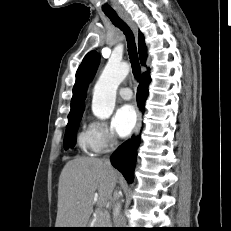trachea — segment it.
Wrapping results in <instances>:
<instances>
[{"label": "trachea", "mask_w": 231, "mask_h": 231, "mask_svg": "<svg viewBox=\"0 0 231 231\" xmlns=\"http://www.w3.org/2000/svg\"><path fill=\"white\" fill-rule=\"evenodd\" d=\"M105 15L111 20V22L118 28H120L126 35L128 54L132 66V72L135 79L139 80L141 76V68L138 59V53L135 43V38L128 27V25L117 15L116 12H105Z\"/></svg>", "instance_id": "3493384b"}]
</instances>
